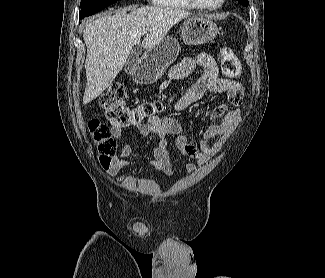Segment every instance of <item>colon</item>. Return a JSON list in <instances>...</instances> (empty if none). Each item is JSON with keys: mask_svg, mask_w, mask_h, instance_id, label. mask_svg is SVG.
<instances>
[{"mask_svg": "<svg viewBox=\"0 0 325 278\" xmlns=\"http://www.w3.org/2000/svg\"><path fill=\"white\" fill-rule=\"evenodd\" d=\"M222 71L229 79L237 80L242 72V66L237 55L227 46L220 50ZM127 92L121 85H113L99 98V103L106 113L112 126L127 127L141 124L145 119L156 116L164 110L165 101L155 100L130 107L126 103ZM88 129L100 154V162L108 166L111 157L116 152V141L110 128L97 119L88 121Z\"/></svg>", "mask_w": 325, "mask_h": 278, "instance_id": "1", "label": "colon"}]
</instances>
